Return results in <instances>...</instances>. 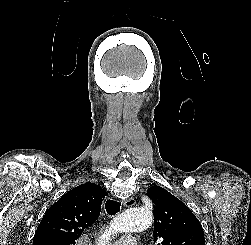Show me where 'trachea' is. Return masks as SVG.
I'll return each mask as SVG.
<instances>
[{"mask_svg": "<svg viewBox=\"0 0 251 245\" xmlns=\"http://www.w3.org/2000/svg\"><path fill=\"white\" fill-rule=\"evenodd\" d=\"M121 203L115 200L106 201L105 208L109 215H115L120 210Z\"/></svg>", "mask_w": 251, "mask_h": 245, "instance_id": "obj_1", "label": "trachea"}]
</instances>
